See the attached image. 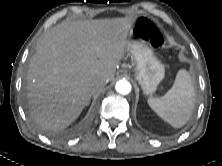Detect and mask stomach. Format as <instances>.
I'll return each mask as SVG.
<instances>
[{"instance_id":"0dacf381","label":"stomach","mask_w":222,"mask_h":166,"mask_svg":"<svg viewBox=\"0 0 222 166\" xmlns=\"http://www.w3.org/2000/svg\"><path fill=\"white\" fill-rule=\"evenodd\" d=\"M135 63V79L145 95H152L163 80L165 68L144 40L131 42L129 50Z\"/></svg>"}]
</instances>
